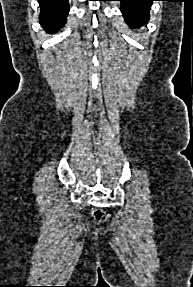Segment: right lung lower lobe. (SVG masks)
I'll return each instance as SVG.
<instances>
[{
    "mask_svg": "<svg viewBox=\"0 0 193 287\" xmlns=\"http://www.w3.org/2000/svg\"><path fill=\"white\" fill-rule=\"evenodd\" d=\"M41 12L40 23L49 33H55L63 27L69 12L68 0H38Z\"/></svg>",
    "mask_w": 193,
    "mask_h": 287,
    "instance_id": "1",
    "label": "right lung lower lobe"
}]
</instances>
